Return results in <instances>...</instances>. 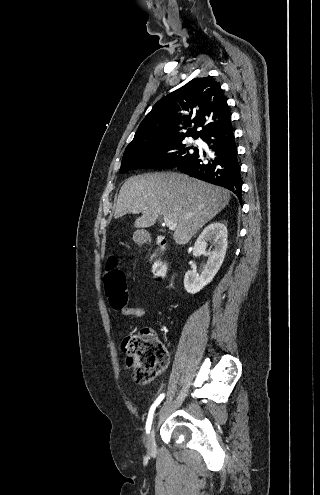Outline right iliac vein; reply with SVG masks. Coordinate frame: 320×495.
Instances as JSON below:
<instances>
[{"mask_svg": "<svg viewBox=\"0 0 320 495\" xmlns=\"http://www.w3.org/2000/svg\"><path fill=\"white\" fill-rule=\"evenodd\" d=\"M147 448L150 453H155L156 452V443H155V432L154 428H152L151 432L149 433V436L147 438Z\"/></svg>", "mask_w": 320, "mask_h": 495, "instance_id": "63e3f726", "label": "right iliac vein"}]
</instances>
